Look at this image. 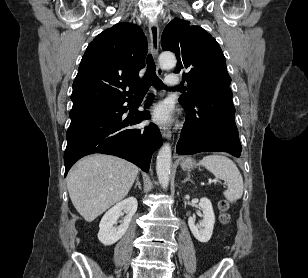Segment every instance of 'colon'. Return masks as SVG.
Returning a JSON list of instances; mask_svg holds the SVG:
<instances>
[{
  "label": "colon",
  "instance_id": "colon-1",
  "mask_svg": "<svg viewBox=\"0 0 308 278\" xmlns=\"http://www.w3.org/2000/svg\"><path fill=\"white\" fill-rule=\"evenodd\" d=\"M229 204L227 201L223 200L220 202V210H221V221L222 223H228L230 219V215L228 213Z\"/></svg>",
  "mask_w": 308,
  "mask_h": 278
}]
</instances>
